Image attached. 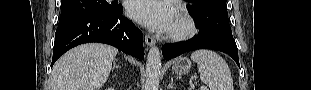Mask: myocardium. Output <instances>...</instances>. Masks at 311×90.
Instances as JSON below:
<instances>
[{"label":"myocardium","instance_id":"1","mask_svg":"<svg viewBox=\"0 0 311 90\" xmlns=\"http://www.w3.org/2000/svg\"><path fill=\"white\" fill-rule=\"evenodd\" d=\"M175 16L179 22V27L167 31L166 37L173 41H182L193 37L197 32L194 19L184 10H177Z\"/></svg>","mask_w":311,"mask_h":90}]
</instances>
